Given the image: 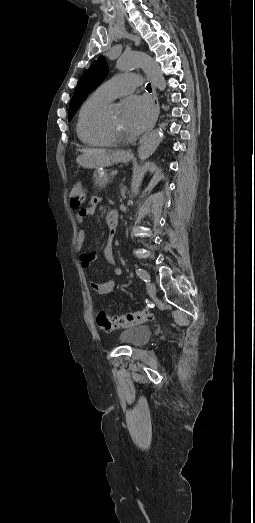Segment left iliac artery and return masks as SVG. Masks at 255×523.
<instances>
[{
  "label": "left iliac artery",
  "instance_id": "left-iliac-artery-1",
  "mask_svg": "<svg viewBox=\"0 0 255 523\" xmlns=\"http://www.w3.org/2000/svg\"><path fill=\"white\" fill-rule=\"evenodd\" d=\"M136 273L143 281H145V282L148 281L146 274H145V270L138 268V269H136Z\"/></svg>",
  "mask_w": 255,
  "mask_h": 523
}]
</instances>
